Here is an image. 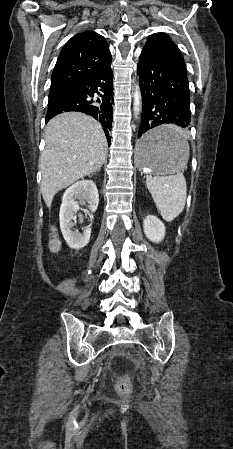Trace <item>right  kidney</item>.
I'll use <instances>...</instances> for the list:
<instances>
[{
    "label": "right kidney",
    "instance_id": "obj_1",
    "mask_svg": "<svg viewBox=\"0 0 233 449\" xmlns=\"http://www.w3.org/2000/svg\"><path fill=\"white\" fill-rule=\"evenodd\" d=\"M84 200L88 202L90 212L94 213L98 207L99 195L95 183L91 180L78 181L65 191L59 213L63 237L68 246L76 250L85 247L91 235L90 226L84 228L83 233L72 231L74 214L79 211V204L83 205Z\"/></svg>",
    "mask_w": 233,
    "mask_h": 449
}]
</instances>
